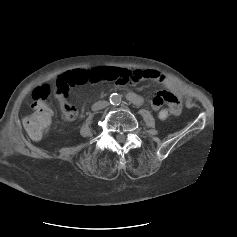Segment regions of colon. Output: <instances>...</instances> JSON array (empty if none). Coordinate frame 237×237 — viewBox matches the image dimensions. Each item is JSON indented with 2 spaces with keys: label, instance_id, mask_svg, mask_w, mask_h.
Segmentation results:
<instances>
[{
  "label": "colon",
  "instance_id": "1",
  "mask_svg": "<svg viewBox=\"0 0 237 237\" xmlns=\"http://www.w3.org/2000/svg\"><path fill=\"white\" fill-rule=\"evenodd\" d=\"M132 78L124 70L115 68H98L92 70H75L61 75L54 84H44L37 87L32 94V112L23 120V125L33 139H40L49 129L52 121V110L48 104L51 95L66 98L69 89L74 85L85 83L112 82L120 85L128 84ZM63 111L70 117L77 113L76 107L68 102ZM174 112L172 109H162L158 118L167 120Z\"/></svg>",
  "mask_w": 237,
  "mask_h": 237
}]
</instances>
